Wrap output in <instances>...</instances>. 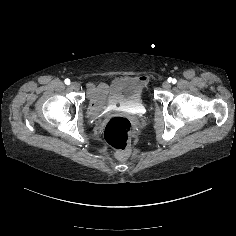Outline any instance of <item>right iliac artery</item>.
<instances>
[{
    "instance_id": "82829eb1",
    "label": "right iliac artery",
    "mask_w": 236,
    "mask_h": 236,
    "mask_svg": "<svg viewBox=\"0 0 236 236\" xmlns=\"http://www.w3.org/2000/svg\"><path fill=\"white\" fill-rule=\"evenodd\" d=\"M64 82H65V84H66V85H69V84H70V80H69L68 78H67V79H65V81H64Z\"/></svg>"
}]
</instances>
